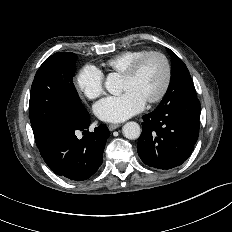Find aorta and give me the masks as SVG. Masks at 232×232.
<instances>
[{
    "instance_id": "aorta-1",
    "label": "aorta",
    "mask_w": 232,
    "mask_h": 232,
    "mask_svg": "<svg viewBox=\"0 0 232 232\" xmlns=\"http://www.w3.org/2000/svg\"><path fill=\"white\" fill-rule=\"evenodd\" d=\"M105 87L110 94L119 95L122 92V81L118 74L111 73L107 76ZM123 135L131 140L137 139L141 134L138 123L134 121L127 122L122 128Z\"/></svg>"
}]
</instances>
